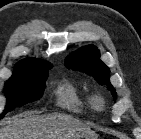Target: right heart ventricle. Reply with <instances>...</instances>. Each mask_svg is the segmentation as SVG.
Here are the masks:
<instances>
[{
    "label": "right heart ventricle",
    "mask_w": 141,
    "mask_h": 139,
    "mask_svg": "<svg viewBox=\"0 0 141 139\" xmlns=\"http://www.w3.org/2000/svg\"><path fill=\"white\" fill-rule=\"evenodd\" d=\"M54 93L57 105L70 112L83 114L96 107V99L69 80L61 81Z\"/></svg>",
    "instance_id": "right-heart-ventricle-1"
}]
</instances>
